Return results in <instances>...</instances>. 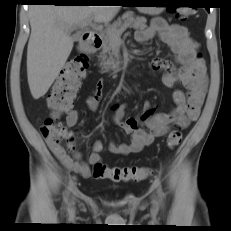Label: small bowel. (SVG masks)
Instances as JSON below:
<instances>
[{"mask_svg":"<svg viewBox=\"0 0 231 231\" xmlns=\"http://www.w3.org/2000/svg\"><path fill=\"white\" fill-rule=\"evenodd\" d=\"M167 45L173 55L174 64L164 60H155L151 63L154 70L163 71V83L170 88L181 84L186 92L175 89L173 100L176 107L170 112H156L155 108L146 103L142 112L137 117L125 119V104L116 103L112 106L113 121L119 125L131 139L129 143H110L111 153L128 155L140 152L145 146L150 145L157 137L167 134L172 125L179 128L187 127L190 122L199 116L206 91V68L204 61L198 56V44L191 38L188 29L178 24H169L162 18H155L151 25L136 33L135 39L145 43L154 37ZM101 84L97 86L96 93L87 101L89 108L96 111L99 105ZM79 120L78 112L70 110L66 116V127H73ZM52 153L68 169L83 177L90 175V164L100 162V152L103 144L96 141L88 160L84 161L79 151L73 149L68 154L65 148L57 145L51 139H46Z\"/></svg>","mask_w":231,"mask_h":231,"instance_id":"1","label":"small bowel"}]
</instances>
